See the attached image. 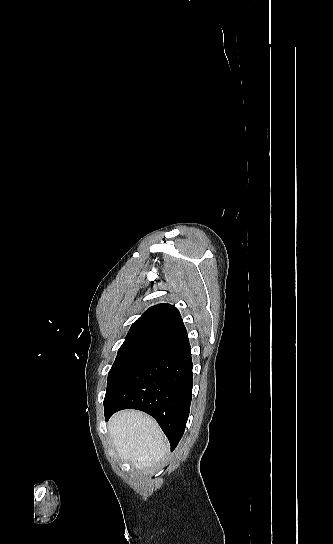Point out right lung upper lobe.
<instances>
[{
    "label": "right lung upper lobe",
    "instance_id": "obj_1",
    "mask_svg": "<svg viewBox=\"0 0 333 544\" xmlns=\"http://www.w3.org/2000/svg\"><path fill=\"white\" fill-rule=\"evenodd\" d=\"M186 334L179 311L170 304L150 307L132 324L120 349L154 347Z\"/></svg>",
    "mask_w": 333,
    "mask_h": 544
}]
</instances>
